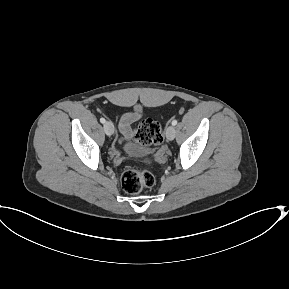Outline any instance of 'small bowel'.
Returning <instances> with one entry per match:
<instances>
[{
	"label": "small bowel",
	"instance_id": "obj_1",
	"mask_svg": "<svg viewBox=\"0 0 289 289\" xmlns=\"http://www.w3.org/2000/svg\"><path fill=\"white\" fill-rule=\"evenodd\" d=\"M140 113L137 111L124 114L119 120V130L121 133V140H125L130 136V124L139 119Z\"/></svg>",
	"mask_w": 289,
	"mask_h": 289
}]
</instances>
